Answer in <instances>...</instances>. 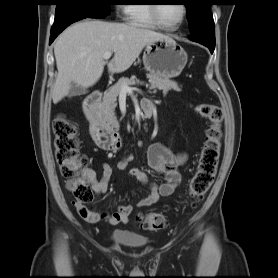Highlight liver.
<instances>
[{
  "instance_id": "obj_1",
  "label": "liver",
  "mask_w": 278,
  "mask_h": 278,
  "mask_svg": "<svg viewBox=\"0 0 278 278\" xmlns=\"http://www.w3.org/2000/svg\"><path fill=\"white\" fill-rule=\"evenodd\" d=\"M165 35L132 24L85 20L67 28L54 45L58 75L52 90L53 103L62 100L72 83L83 88L100 79L106 64L105 52H114L108 71H126L151 42Z\"/></svg>"
}]
</instances>
